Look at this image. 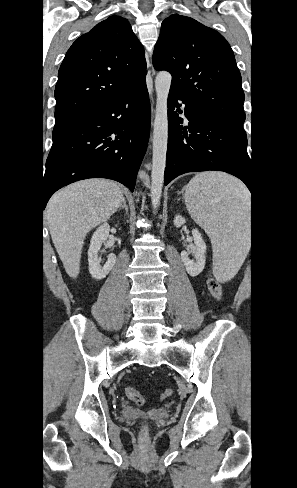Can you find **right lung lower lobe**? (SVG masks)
<instances>
[{
    "instance_id": "98d812e1",
    "label": "right lung lower lobe",
    "mask_w": 297,
    "mask_h": 488,
    "mask_svg": "<svg viewBox=\"0 0 297 488\" xmlns=\"http://www.w3.org/2000/svg\"><path fill=\"white\" fill-rule=\"evenodd\" d=\"M149 130L145 79L109 103L54 129L42 182L43 209L54 192L78 180L108 178L133 191Z\"/></svg>"
}]
</instances>
